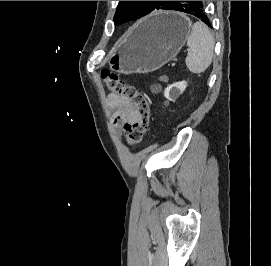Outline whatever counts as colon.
Here are the masks:
<instances>
[{"instance_id":"obj_1","label":"colon","mask_w":271,"mask_h":266,"mask_svg":"<svg viewBox=\"0 0 271 266\" xmlns=\"http://www.w3.org/2000/svg\"><path fill=\"white\" fill-rule=\"evenodd\" d=\"M101 77L113 94L132 102L137 113V119L123 125L122 135L129 145L140 144L147 133L151 117V108L146 95L136 87L127 84L115 73L105 70Z\"/></svg>"}]
</instances>
